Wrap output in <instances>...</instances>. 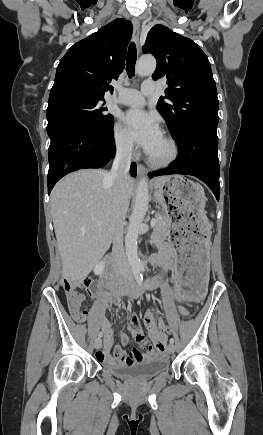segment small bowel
Instances as JSON below:
<instances>
[{"instance_id":"c3829d8e","label":"small bowel","mask_w":263,"mask_h":435,"mask_svg":"<svg viewBox=\"0 0 263 435\" xmlns=\"http://www.w3.org/2000/svg\"><path fill=\"white\" fill-rule=\"evenodd\" d=\"M155 243L160 247L159 255L155 257V262L159 267V273L156 276L154 283H158L168 272H170L171 268L169 267V264L174 261L175 250L171 245L163 242L158 236L155 237ZM93 288L95 289V286ZM106 304L110 306L112 302L108 301ZM179 311L183 316L188 315L187 310L183 306L179 307ZM143 323L148 329L149 339L153 343L144 336L139 317L136 314H132L128 331L131 333L133 339L144 350V353H141L136 348H133L129 353H127L121 346H113L114 336L111 330V323L104 317L99 318L97 325L100 332L103 334V348L97 355L99 361L105 363L134 364L157 355L163 356L165 350L168 348V343L166 341L167 334L165 333L163 321L160 318H156L153 312L148 311L143 317ZM120 340L124 346L129 343V339L125 332L120 333ZM112 348L113 352H111Z\"/></svg>"}]
</instances>
